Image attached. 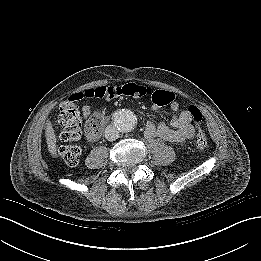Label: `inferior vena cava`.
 Segmentation results:
<instances>
[{
    "mask_svg": "<svg viewBox=\"0 0 261 261\" xmlns=\"http://www.w3.org/2000/svg\"><path fill=\"white\" fill-rule=\"evenodd\" d=\"M105 138L108 141H115L119 138V132L115 126L109 125L105 129Z\"/></svg>",
    "mask_w": 261,
    "mask_h": 261,
    "instance_id": "1",
    "label": "inferior vena cava"
}]
</instances>
